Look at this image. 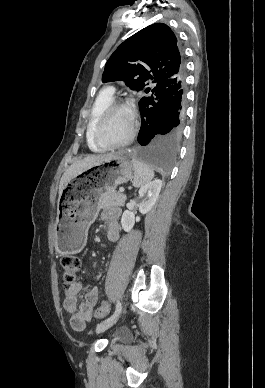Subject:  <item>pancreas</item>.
Here are the masks:
<instances>
[{
    "label": "pancreas",
    "mask_w": 265,
    "mask_h": 388,
    "mask_svg": "<svg viewBox=\"0 0 265 388\" xmlns=\"http://www.w3.org/2000/svg\"><path fill=\"white\" fill-rule=\"evenodd\" d=\"M126 196L124 194H116V192H104L100 194L98 206L106 208V206H124Z\"/></svg>",
    "instance_id": "cf45deb5"
}]
</instances>
